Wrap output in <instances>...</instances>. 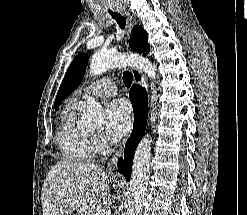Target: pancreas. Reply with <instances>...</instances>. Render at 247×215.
Masks as SVG:
<instances>
[{
	"mask_svg": "<svg viewBox=\"0 0 247 215\" xmlns=\"http://www.w3.org/2000/svg\"><path fill=\"white\" fill-rule=\"evenodd\" d=\"M99 204H94V205H90V206H85L84 208H82L80 210V215H95L96 211H97V207Z\"/></svg>",
	"mask_w": 247,
	"mask_h": 215,
	"instance_id": "1",
	"label": "pancreas"
}]
</instances>
